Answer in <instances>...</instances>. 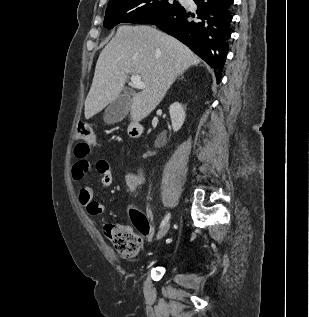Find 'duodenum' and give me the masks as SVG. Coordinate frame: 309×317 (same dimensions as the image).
I'll return each instance as SVG.
<instances>
[{"mask_svg": "<svg viewBox=\"0 0 309 317\" xmlns=\"http://www.w3.org/2000/svg\"><path fill=\"white\" fill-rule=\"evenodd\" d=\"M143 132V127L138 121H131L128 126V134L132 138H138Z\"/></svg>", "mask_w": 309, "mask_h": 317, "instance_id": "1", "label": "duodenum"}]
</instances>
